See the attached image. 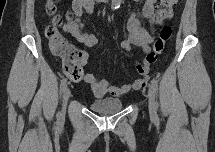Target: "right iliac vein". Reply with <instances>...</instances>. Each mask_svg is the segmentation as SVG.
<instances>
[{
	"mask_svg": "<svg viewBox=\"0 0 215 152\" xmlns=\"http://www.w3.org/2000/svg\"><path fill=\"white\" fill-rule=\"evenodd\" d=\"M70 89L69 88H66L65 91H64V94H63V104H62V112L60 113L61 116H63V112L66 108V105H67V102H68V99L70 97Z\"/></svg>",
	"mask_w": 215,
	"mask_h": 152,
	"instance_id": "right-iliac-vein-1",
	"label": "right iliac vein"
}]
</instances>
